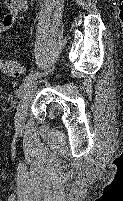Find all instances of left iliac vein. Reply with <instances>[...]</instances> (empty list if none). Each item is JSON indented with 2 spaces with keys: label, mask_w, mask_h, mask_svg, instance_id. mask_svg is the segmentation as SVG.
Listing matches in <instances>:
<instances>
[{
  "label": "left iliac vein",
  "mask_w": 123,
  "mask_h": 201,
  "mask_svg": "<svg viewBox=\"0 0 123 201\" xmlns=\"http://www.w3.org/2000/svg\"><path fill=\"white\" fill-rule=\"evenodd\" d=\"M38 81L34 80L24 91L15 116V127L20 130L25 122L27 108L37 87Z\"/></svg>",
  "instance_id": "1"
}]
</instances>
